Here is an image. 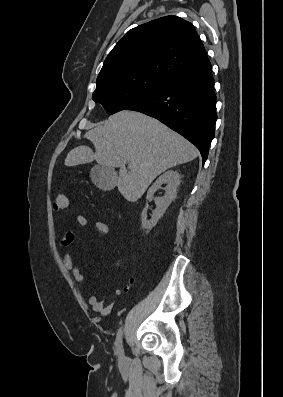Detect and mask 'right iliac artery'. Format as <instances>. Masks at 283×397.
Here are the masks:
<instances>
[{
  "mask_svg": "<svg viewBox=\"0 0 283 397\" xmlns=\"http://www.w3.org/2000/svg\"><path fill=\"white\" fill-rule=\"evenodd\" d=\"M115 346H116V351H117L118 356L120 358H123L124 351H123V346H122V328H120L118 330Z\"/></svg>",
  "mask_w": 283,
  "mask_h": 397,
  "instance_id": "right-iliac-artery-1",
  "label": "right iliac artery"
}]
</instances>
